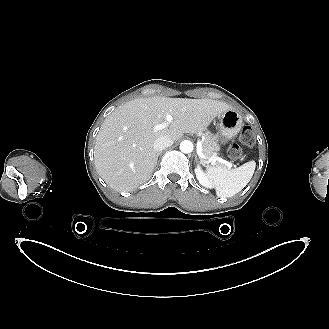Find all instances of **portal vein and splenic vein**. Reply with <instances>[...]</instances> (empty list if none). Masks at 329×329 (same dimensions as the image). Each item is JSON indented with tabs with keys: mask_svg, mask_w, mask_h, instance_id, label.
<instances>
[{
	"mask_svg": "<svg viewBox=\"0 0 329 329\" xmlns=\"http://www.w3.org/2000/svg\"><path fill=\"white\" fill-rule=\"evenodd\" d=\"M173 121V117L170 114L166 115V122L161 123V124H157L153 127L154 131H159L162 130L164 128H166L171 122ZM197 154L202 157L203 156V152H202V144L200 142H198L197 145ZM221 162L224 163L226 166H228L229 168H231L233 166V164L231 162H228L216 155H213L209 158V162L215 163V162Z\"/></svg>",
	"mask_w": 329,
	"mask_h": 329,
	"instance_id": "obj_1",
	"label": "portal vein and splenic vein"
}]
</instances>
